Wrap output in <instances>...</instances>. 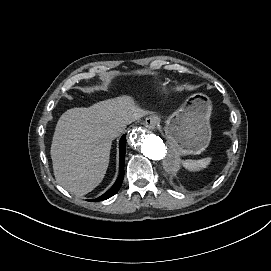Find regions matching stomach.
<instances>
[{"label": "stomach", "mask_w": 271, "mask_h": 271, "mask_svg": "<svg viewBox=\"0 0 271 271\" xmlns=\"http://www.w3.org/2000/svg\"><path fill=\"white\" fill-rule=\"evenodd\" d=\"M211 102L197 94L187 99L183 107L166 119V136L175 151L198 154L205 150L210 137Z\"/></svg>", "instance_id": "obj_1"}]
</instances>
